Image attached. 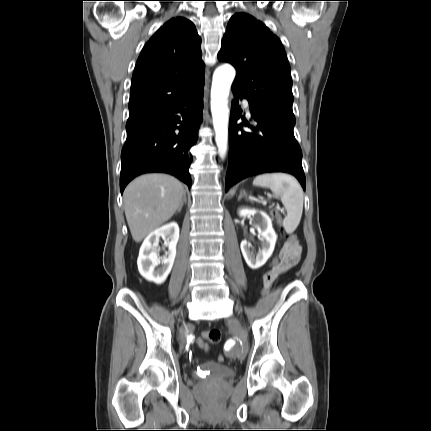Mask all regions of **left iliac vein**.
Instances as JSON below:
<instances>
[{
  "instance_id": "left-iliac-vein-1",
  "label": "left iliac vein",
  "mask_w": 431,
  "mask_h": 431,
  "mask_svg": "<svg viewBox=\"0 0 431 431\" xmlns=\"http://www.w3.org/2000/svg\"><path fill=\"white\" fill-rule=\"evenodd\" d=\"M228 322L230 325H233L235 327L238 326V322L234 317H230ZM236 333L241 338V340L243 342L242 350L238 355V359L244 360L246 355H247V352H248L247 334L245 333V331H243L242 329H239V328L236 329Z\"/></svg>"
}]
</instances>
